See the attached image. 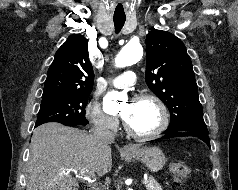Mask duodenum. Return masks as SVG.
Returning a JSON list of instances; mask_svg holds the SVG:
<instances>
[{
  "label": "duodenum",
  "mask_w": 238,
  "mask_h": 190,
  "mask_svg": "<svg viewBox=\"0 0 238 190\" xmlns=\"http://www.w3.org/2000/svg\"><path fill=\"white\" fill-rule=\"evenodd\" d=\"M91 190H99L98 188H92Z\"/></svg>",
  "instance_id": "duodenum-1"
}]
</instances>
